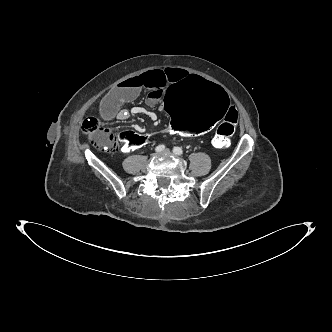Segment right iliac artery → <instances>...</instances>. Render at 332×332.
I'll return each instance as SVG.
<instances>
[{
	"label": "right iliac artery",
	"mask_w": 332,
	"mask_h": 332,
	"mask_svg": "<svg viewBox=\"0 0 332 332\" xmlns=\"http://www.w3.org/2000/svg\"><path fill=\"white\" fill-rule=\"evenodd\" d=\"M165 149V146L164 145H158L156 148H155V151L157 152H161Z\"/></svg>",
	"instance_id": "82829eb1"
}]
</instances>
